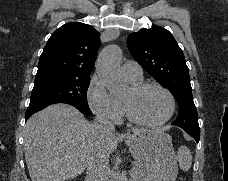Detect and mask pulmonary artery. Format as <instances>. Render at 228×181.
Returning <instances> with one entry per match:
<instances>
[{
    "label": "pulmonary artery",
    "instance_id": "pulmonary-artery-1",
    "mask_svg": "<svg viewBox=\"0 0 228 181\" xmlns=\"http://www.w3.org/2000/svg\"><path fill=\"white\" fill-rule=\"evenodd\" d=\"M140 69L141 66L139 62H128V64L125 65V75L131 79H139L141 77V74L138 73V70Z\"/></svg>",
    "mask_w": 228,
    "mask_h": 181
}]
</instances>
